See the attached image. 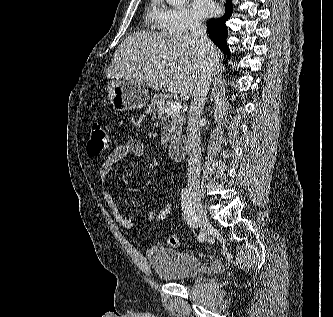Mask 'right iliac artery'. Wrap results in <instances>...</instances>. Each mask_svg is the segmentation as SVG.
I'll return each mask as SVG.
<instances>
[{
  "label": "right iliac artery",
  "instance_id": "82829eb1",
  "mask_svg": "<svg viewBox=\"0 0 333 317\" xmlns=\"http://www.w3.org/2000/svg\"><path fill=\"white\" fill-rule=\"evenodd\" d=\"M181 205H182L183 215L187 224L190 227L197 228L198 218L196 216L195 211L192 208L190 192L187 188H183L181 191ZM204 239H205L204 235L199 233L198 240L203 241Z\"/></svg>",
  "mask_w": 333,
  "mask_h": 317
}]
</instances>
